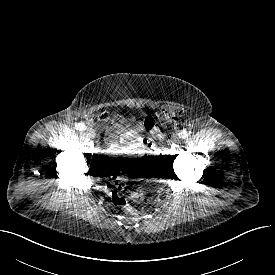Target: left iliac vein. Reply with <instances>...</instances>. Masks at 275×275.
Instances as JSON below:
<instances>
[{
  "label": "left iliac vein",
  "instance_id": "obj_1",
  "mask_svg": "<svg viewBox=\"0 0 275 275\" xmlns=\"http://www.w3.org/2000/svg\"><path fill=\"white\" fill-rule=\"evenodd\" d=\"M171 140L173 143H178L179 138L177 135H173Z\"/></svg>",
  "mask_w": 275,
  "mask_h": 275
}]
</instances>
